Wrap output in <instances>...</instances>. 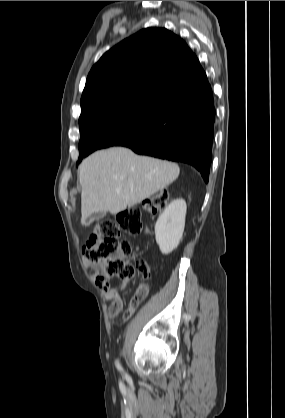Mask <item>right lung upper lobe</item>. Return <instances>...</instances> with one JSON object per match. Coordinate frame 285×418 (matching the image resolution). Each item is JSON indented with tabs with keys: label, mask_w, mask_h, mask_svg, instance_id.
<instances>
[{
	"label": "right lung upper lobe",
	"mask_w": 285,
	"mask_h": 418,
	"mask_svg": "<svg viewBox=\"0 0 285 418\" xmlns=\"http://www.w3.org/2000/svg\"><path fill=\"white\" fill-rule=\"evenodd\" d=\"M206 80L182 38L165 28H146L111 48L92 67L79 120L106 106L138 100L167 106Z\"/></svg>",
	"instance_id": "cb5924a9"
}]
</instances>
